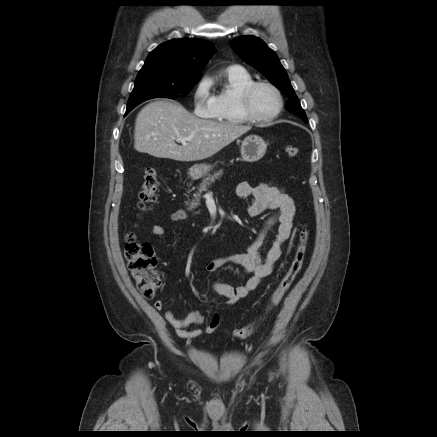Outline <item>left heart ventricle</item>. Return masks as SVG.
I'll return each mask as SVG.
<instances>
[{
	"mask_svg": "<svg viewBox=\"0 0 437 437\" xmlns=\"http://www.w3.org/2000/svg\"><path fill=\"white\" fill-rule=\"evenodd\" d=\"M278 106L274 92L265 86L255 90L252 97V108L256 115L267 117L273 114Z\"/></svg>",
	"mask_w": 437,
	"mask_h": 437,
	"instance_id": "1",
	"label": "left heart ventricle"
}]
</instances>
